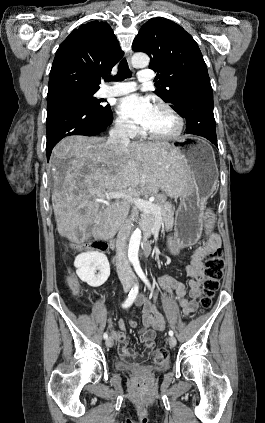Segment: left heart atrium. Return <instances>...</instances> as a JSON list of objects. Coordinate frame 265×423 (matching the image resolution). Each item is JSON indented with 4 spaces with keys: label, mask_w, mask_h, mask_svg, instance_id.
<instances>
[{
    "label": "left heart atrium",
    "mask_w": 265,
    "mask_h": 423,
    "mask_svg": "<svg viewBox=\"0 0 265 423\" xmlns=\"http://www.w3.org/2000/svg\"><path fill=\"white\" fill-rule=\"evenodd\" d=\"M155 108L149 98L138 94L126 96L117 104V111L122 117L143 127L149 123Z\"/></svg>",
    "instance_id": "left-heart-atrium-1"
}]
</instances>
